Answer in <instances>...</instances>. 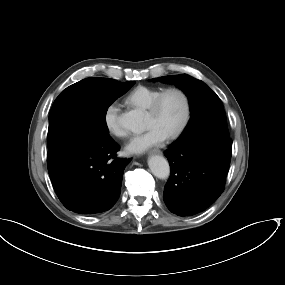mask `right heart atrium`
Returning a JSON list of instances; mask_svg holds the SVG:
<instances>
[{"label": "right heart atrium", "mask_w": 285, "mask_h": 285, "mask_svg": "<svg viewBox=\"0 0 285 285\" xmlns=\"http://www.w3.org/2000/svg\"><path fill=\"white\" fill-rule=\"evenodd\" d=\"M120 108L116 103H110L104 110V124L110 134L117 138H125L127 131L120 123Z\"/></svg>", "instance_id": "right-heart-atrium-1"}]
</instances>
